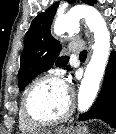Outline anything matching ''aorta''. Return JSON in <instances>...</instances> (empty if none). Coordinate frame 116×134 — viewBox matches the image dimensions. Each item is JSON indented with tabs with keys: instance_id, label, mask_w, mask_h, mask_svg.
Instances as JSON below:
<instances>
[{
	"instance_id": "762f6f07",
	"label": "aorta",
	"mask_w": 116,
	"mask_h": 134,
	"mask_svg": "<svg viewBox=\"0 0 116 134\" xmlns=\"http://www.w3.org/2000/svg\"><path fill=\"white\" fill-rule=\"evenodd\" d=\"M84 19L86 25L94 34L95 43L93 54L84 73L78 93V110L85 112L92 105L110 52V33L102 15L93 7L77 6L61 15L55 25L54 33L61 35L78 26L79 20Z\"/></svg>"
}]
</instances>
